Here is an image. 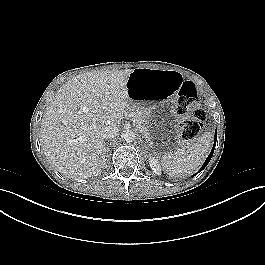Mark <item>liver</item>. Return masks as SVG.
Segmentation results:
<instances>
[{
	"label": "liver",
	"instance_id": "obj_1",
	"mask_svg": "<svg viewBox=\"0 0 265 265\" xmlns=\"http://www.w3.org/2000/svg\"><path fill=\"white\" fill-rule=\"evenodd\" d=\"M133 70L89 72L66 82L41 122L42 149L67 178L86 179L106 165L101 129L119 126L128 108L127 81Z\"/></svg>",
	"mask_w": 265,
	"mask_h": 265
}]
</instances>
